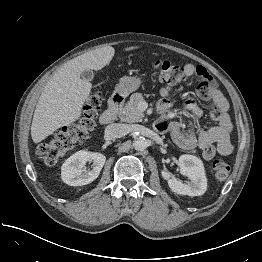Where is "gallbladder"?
I'll return each mask as SVG.
<instances>
[{
  "label": "gallbladder",
  "mask_w": 262,
  "mask_h": 262,
  "mask_svg": "<svg viewBox=\"0 0 262 262\" xmlns=\"http://www.w3.org/2000/svg\"><path fill=\"white\" fill-rule=\"evenodd\" d=\"M83 79L91 81L94 78V73L92 70L86 69L81 73Z\"/></svg>",
  "instance_id": "1"
}]
</instances>
